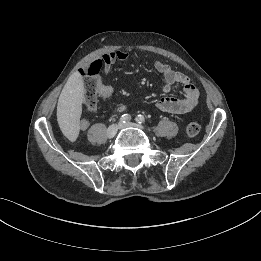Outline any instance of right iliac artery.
Masks as SVG:
<instances>
[{"label":"right iliac artery","instance_id":"right-iliac-artery-1","mask_svg":"<svg viewBox=\"0 0 261 261\" xmlns=\"http://www.w3.org/2000/svg\"><path fill=\"white\" fill-rule=\"evenodd\" d=\"M130 119H131V116L129 114H124L120 118V123H126V122L130 121Z\"/></svg>","mask_w":261,"mask_h":261}]
</instances>
